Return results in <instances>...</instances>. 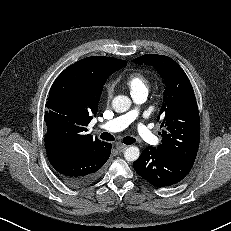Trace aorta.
<instances>
[{
    "mask_svg": "<svg viewBox=\"0 0 231 231\" xmlns=\"http://www.w3.org/2000/svg\"><path fill=\"white\" fill-rule=\"evenodd\" d=\"M131 106V100L124 95H118L113 99L112 107L117 113L126 112ZM140 156V150L137 146H129L125 152L124 157L127 161H136Z\"/></svg>",
    "mask_w": 231,
    "mask_h": 231,
    "instance_id": "obj_1",
    "label": "aorta"
}]
</instances>
